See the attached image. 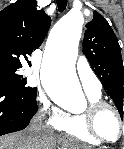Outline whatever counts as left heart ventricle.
<instances>
[{
	"instance_id": "obj_1",
	"label": "left heart ventricle",
	"mask_w": 124,
	"mask_h": 149,
	"mask_svg": "<svg viewBox=\"0 0 124 149\" xmlns=\"http://www.w3.org/2000/svg\"><path fill=\"white\" fill-rule=\"evenodd\" d=\"M98 132L108 140H115L119 135V124L110 109L102 110L96 120Z\"/></svg>"
}]
</instances>
